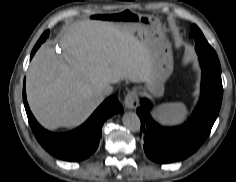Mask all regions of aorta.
I'll return each mask as SVG.
<instances>
[{
    "label": "aorta",
    "mask_w": 236,
    "mask_h": 182,
    "mask_svg": "<svg viewBox=\"0 0 236 182\" xmlns=\"http://www.w3.org/2000/svg\"><path fill=\"white\" fill-rule=\"evenodd\" d=\"M123 125L126 129L132 132H138L141 128V121L138 115L134 112H127L122 118Z\"/></svg>",
    "instance_id": "aorta-1"
}]
</instances>
